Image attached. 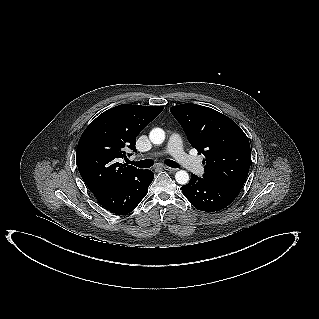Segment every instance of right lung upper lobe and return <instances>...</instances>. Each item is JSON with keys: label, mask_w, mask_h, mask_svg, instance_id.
Segmentation results:
<instances>
[{"label": "right lung upper lobe", "mask_w": 319, "mask_h": 319, "mask_svg": "<svg viewBox=\"0 0 319 319\" xmlns=\"http://www.w3.org/2000/svg\"><path fill=\"white\" fill-rule=\"evenodd\" d=\"M163 110L162 106L122 104L100 114L83 132L76 151L82 179L95 195L140 169L116 162L124 148L136 151L137 135Z\"/></svg>", "instance_id": "1"}]
</instances>
